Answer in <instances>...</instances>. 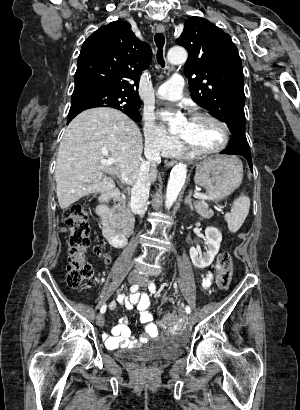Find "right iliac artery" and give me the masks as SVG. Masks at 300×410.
I'll return each instance as SVG.
<instances>
[{"instance_id": "right-iliac-artery-1", "label": "right iliac artery", "mask_w": 300, "mask_h": 410, "mask_svg": "<svg viewBox=\"0 0 300 410\" xmlns=\"http://www.w3.org/2000/svg\"><path fill=\"white\" fill-rule=\"evenodd\" d=\"M138 288H139V285H138V284H134V285H132V286L130 287V291H131V292H136V291L138 290ZM106 308H107V306H106V305H103V306L101 307V309H100V312H101L102 314L105 313Z\"/></svg>"}]
</instances>
